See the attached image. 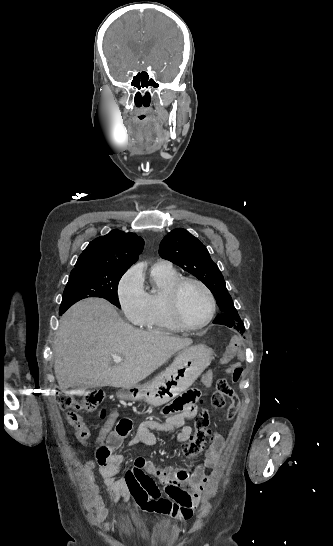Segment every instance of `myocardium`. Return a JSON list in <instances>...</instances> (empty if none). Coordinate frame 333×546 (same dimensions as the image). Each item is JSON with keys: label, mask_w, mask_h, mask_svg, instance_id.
<instances>
[{"label": "myocardium", "mask_w": 333, "mask_h": 546, "mask_svg": "<svg viewBox=\"0 0 333 546\" xmlns=\"http://www.w3.org/2000/svg\"><path fill=\"white\" fill-rule=\"evenodd\" d=\"M189 283L198 285L205 292L209 300V313L205 320L197 325H190L185 322L179 308L180 292L183 286ZM165 304L170 319L183 331H198L205 328L213 320L217 309L216 299L211 289L202 280L194 277H180L176 280L167 293Z\"/></svg>", "instance_id": "obj_1"}]
</instances>
